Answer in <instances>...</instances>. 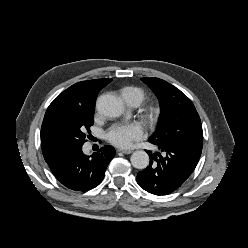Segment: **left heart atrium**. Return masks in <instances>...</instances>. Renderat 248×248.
Returning a JSON list of instances; mask_svg holds the SVG:
<instances>
[{"label":"left heart atrium","instance_id":"obj_1","mask_svg":"<svg viewBox=\"0 0 248 248\" xmlns=\"http://www.w3.org/2000/svg\"><path fill=\"white\" fill-rule=\"evenodd\" d=\"M145 135V129L140 123L117 125L107 133L108 140L119 148H129Z\"/></svg>","mask_w":248,"mask_h":248}]
</instances>
